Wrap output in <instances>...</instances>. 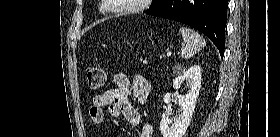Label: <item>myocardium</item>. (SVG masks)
<instances>
[{"mask_svg":"<svg viewBox=\"0 0 280 137\" xmlns=\"http://www.w3.org/2000/svg\"><path fill=\"white\" fill-rule=\"evenodd\" d=\"M104 2V6L106 9L114 12V13H121V14H129V13H132V12H136V11H139L141 9H143V5L145 2H148L147 0H135V3L132 4V5H129L125 8H121V9H115V8H112L107 2V0H103Z\"/></svg>","mask_w":280,"mask_h":137,"instance_id":"f54148a6","label":"myocardium"}]
</instances>
